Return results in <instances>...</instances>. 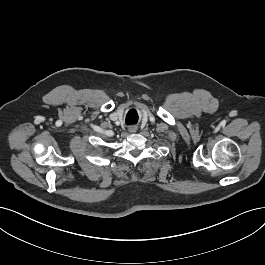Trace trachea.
<instances>
[{
  "instance_id": "3493384b",
  "label": "trachea",
  "mask_w": 265,
  "mask_h": 265,
  "mask_svg": "<svg viewBox=\"0 0 265 265\" xmlns=\"http://www.w3.org/2000/svg\"><path fill=\"white\" fill-rule=\"evenodd\" d=\"M126 123H127L128 125H130V124H134V123L132 122V119H131L129 116H127V118H126Z\"/></svg>"
}]
</instances>
